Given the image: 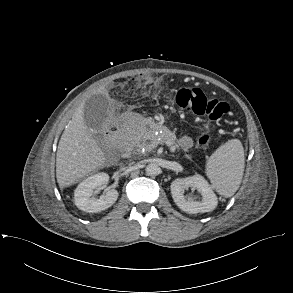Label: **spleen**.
Segmentation results:
<instances>
[{"mask_svg":"<svg viewBox=\"0 0 293 293\" xmlns=\"http://www.w3.org/2000/svg\"><path fill=\"white\" fill-rule=\"evenodd\" d=\"M244 160V148L238 139L227 141L210 156L206 174L219 194L230 197L236 192L242 180Z\"/></svg>","mask_w":293,"mask_h":293,"instance_id":"1","label":"spleen"}]
</instances>
